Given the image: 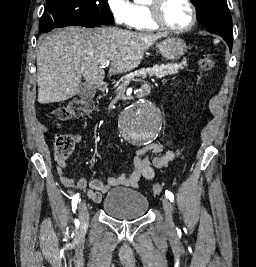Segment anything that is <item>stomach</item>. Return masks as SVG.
Wrapping results in <instances>:
<instances>
[{"instance_id":"stomach-1","label":"stomach","mask_w":256,"mask_h":267,"mask_svg":"<svg viewBox=\"0 0 256 267\" xmlns=\"http://www.w3.org/2000/svg\"><path fill=\"white\" fill-rule=\"evenodd\" d=\"M157 50L166 60H179L186 52V44L182 38H165L162 42L156 44Z\"/></svg>"}]
</instances>
